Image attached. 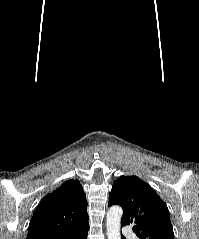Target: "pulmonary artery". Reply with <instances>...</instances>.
Instances as JSON below:
<instances>
[{
    "label": "pulmonary artery",
    "mask_w": 199,
    "mask_h": 239,
    "mask_svg": "<svg viewBox=\"0 0 199 239\" xmlns=\"http://www.w3.org/2000/svg\"><path fill=\"white\" fill-rule=\"evenodd\" d=\"M123 234L125 235V237L129 238V239H136V234L133 232L132 229L125 227L123 229Z\"/></svg>",
    "instance_id": "e3ab8cb5"
}]
</instances>
